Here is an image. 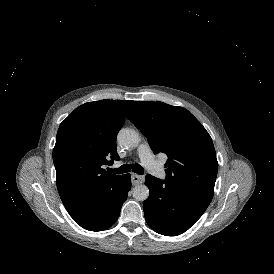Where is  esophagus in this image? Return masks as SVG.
<instances>
[{"label": "esophagus", "instance_id": "1", "mask_svg": "<svg viewBox=\"0 0 274 274\" xmlns=\"http://www.w3.org/2000/svg\"><path fill=\"white\" fill-rule=\"evenodd\" d=\"M132 185L136 186L144 182L145 178L138 174L132 173L131 174Z\"/></svg>", "mask_w": 274, "mask_h": 274}]
</instances>
